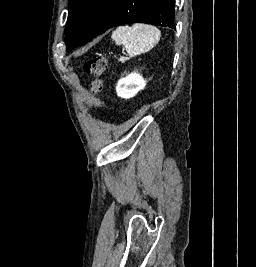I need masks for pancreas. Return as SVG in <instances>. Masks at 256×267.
Masks as SVG:
<instances>
[{
  "mask_svg": "<svg viewBox=\"0 0 256 267\" xmlns=\"http://www.w3.org/2000/svg\"><path fill=\"white\" fill-rule=\"evenodd\" d=\"M126 60H128V58H125V56H121V58H119V62H122V64H125Z\"/></svg>",
  "mask_w": 256,
  "mask_h": 267,
  "instance_id": "pancreas-1",
  "label": "pancreas"
}]
</instances>
